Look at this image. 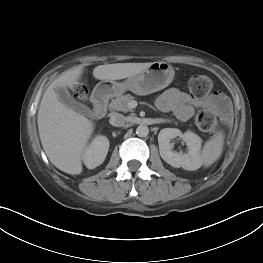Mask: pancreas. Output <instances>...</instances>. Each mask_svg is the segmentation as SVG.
<instances>
[{"label":"pancreas","mask_w":263,"mask_h":263,"mask_svg":"<svg viewBox=\"0 0 263 263\" xmlns=\"http://www.w3.org/2000/svg\"><path fill=\"white\" fill-rule=\"evenodd\" d=\"M133 99L134 97L131 96L130 94L120 95L111 101V103L109 104V107L111 110L128 112L132 110L131 107L129 106V103Z\"/></svg>","instance_id":"cf45deb5"}]
</instances>
